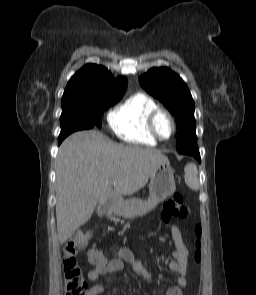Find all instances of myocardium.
<instances>
[{"label":"myocardium","instance_id":"f54148a6","mask_svg":"<svg viewBox=\"0 0 256 295\" xmlns=\"http://www.w3.org/2000/svg\"><path fill=\"white\" fill-rule=\"evenodd\" d=\"M160 116H165L171 124L172 131H171V135L168 138L161 136V134L159 133V131L157 129V121ZM147 123H148L149 131L159 141H168L176 133V129H177L176 121H175L173 115L169 111H167L166 109L157 108L154 111H152L148 117Z\"/></svg>","mask_w":256,"mask_h":295}]
</instances>
